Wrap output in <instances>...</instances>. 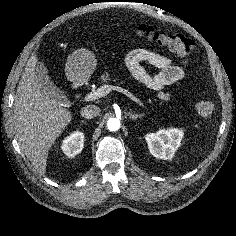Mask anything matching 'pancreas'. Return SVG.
<instances>
[{"instance_id": "obj_1", "label": "pancreas", "mask_w": 236, "mask_h": 236, "mask_svg": "<svg viewBox=\"0 0 236 236\" xmlns=\"http://www.w3.org/2000/svg\"><path fill=\"white\" fill-rule=\"evenodd\" d=\"M111 80H112V76L108 72L103 73L100 77V81L102 84H107ZM160 104H162V103H160Z\"/></svg>"}]
</instances>
